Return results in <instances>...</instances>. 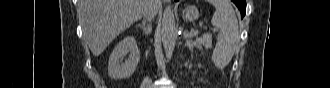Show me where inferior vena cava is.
<instances>
[{
  "label": "inferior vena cava",
  "mask_w": 330,
  "mask_h": 88,
  "mask_svg": "<svg viewBox=\"0 0 330 88\" xmlns=\"http://www.w3.org/2000/svg\"><path fill=\"white\" fill-rule=\"evenodd\" d=\"M156 10H155V7H154V0H149L148 1V5L147 7L145 8V11H144V17L147 18L149 21H151L154 16L156 15Z\"/></svg>",
  "instance_id": "obj_1"
}]
</instances>
